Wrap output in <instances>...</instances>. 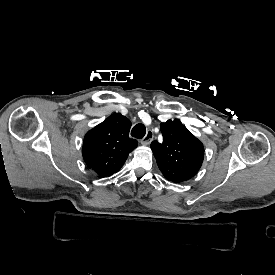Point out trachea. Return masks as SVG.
I'll use <instances>...</instances> for the list:
<instances>
[{"mask_svg": "<svg viewBox=\"0 0 275 275\" xmlns=\"http://www.w3.org/2000/svg\"><path fill=\"white\" fill-rule=\"evenodd\" d=\"M146 128L143 124H137L132 128L131 135L137 139H142L145 136Z\"/></svg>", "mask_w": 275, "mask_h": 275, "instance_id": "obj_1", "label": "trachea"}]
</instances>
